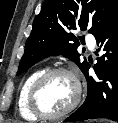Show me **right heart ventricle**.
I'll return each mask as SVG.
<instances>
[{
    "mask_svg": "<svg viewBox=\"0 0 118 123\" xmlns=\"http://www.w3.org/2000/svg\"><path fill=\"white\" fill-rule=\"evenodd\" d=\"M43 72H44L43 70H36L32 72L26 77V79L23 81V83L20 86L18 98H17V107L21 117L26 120L35 121L39 119V117L33 114L31 110L29 109L28 95H29L31 86Z\"/></svg>",
    "mask_w": 118,
    "mask_h": 123,
    "instance_id": "right-heart-ventricle-1",
    "label": "right heart ventricle"
}]
</instances>
